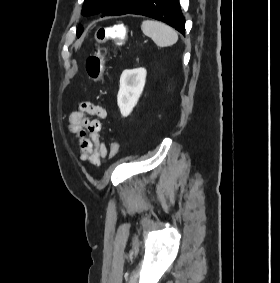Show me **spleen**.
<instances>
[{
	"label": "spleen",
	"mask_w": 280,
	"mask_h": 283,
	"mask_svg": "<svg viewBox=\"0 0 280 283\" xmlns=\"http://www.w3.org/2000/svg\"><path fill=\"white\" fill-rule=\"evenodd\" d=\"M141 29L143 33L150 37L159 47H168L178 41L177 32L170 26L158 21H143Z\"/></svg>",
	"instance_id": "1"
}]
</instances>
